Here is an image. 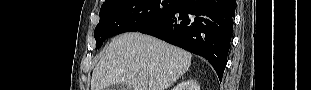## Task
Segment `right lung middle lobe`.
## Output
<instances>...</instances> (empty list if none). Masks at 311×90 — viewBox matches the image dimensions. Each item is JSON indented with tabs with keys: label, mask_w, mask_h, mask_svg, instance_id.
<instances>
[{
	"label": "right lung middle lobe",
	"mask_w": 311,
	"mask_h": 90,
	"mask_svg": "<svg viewBox=\"0 0 311 90\" xmlns=\"http://www.w3.org/2000/svg\"><path fill=\"white\" fill-rule=\"evenodd\" d=\"M179 0H108L100 9L94 31L96 48L116 34L138 31L170 13Z\"/></svg>",
	"instance_id": "dd1d6c3e"
}]
</instances>
